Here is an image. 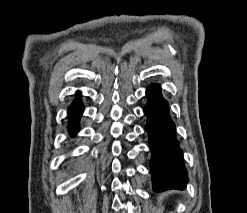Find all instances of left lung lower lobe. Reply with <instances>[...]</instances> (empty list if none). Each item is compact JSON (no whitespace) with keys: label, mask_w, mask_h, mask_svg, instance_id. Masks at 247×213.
I'll list each match as a JSON object with an SVG mask.
<instances>
[{"label":"left lung lower lobe","mask_w":247,"mask_h":213,"mask_svg":"<svg viewBox=\"0 0 247 213\" xmlns=\"http://www.w3.org/2000/svg\"><path fill=\"white\" fill-rule=\"evenodd\" d=\"M148 102L144 107L147 115L145 130L152 151L150 167L154 191L184 189L187 172L182 151L175 137V125L169 116L168 103L161 96L160 86L151 85L146 90Z\"/></svg>","instance_id":"0a47b994"}]
</instances>
